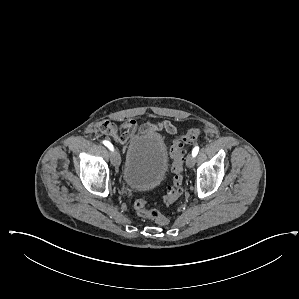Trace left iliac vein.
I'll return each mask as SVG.
<instances>
[{"mask_svg": "<svg viewBox=\"0 0 299 299\" xmlns=\"http://www.w3.org/2000/svg\"><path fill=\"white\" fill-rule=\"evenodd\" d=\"M195 164V160L192 154H188L186 158V165L189 168H192Z\"/></svg>", "mask_w": 299, "mask_h": 299, "instance_id": "1", "label": "left iliac vein"}]
</instances>
